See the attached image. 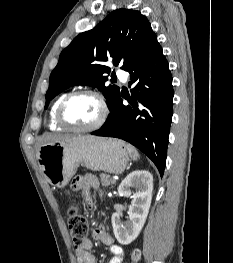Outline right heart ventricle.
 I'll return each instance as SVG.
<instances>
[{
	"label": "right heart ventricle",
	"mask_w": 233,
	"mask_h": 263,
	"mask_svg": "<svg viewBox=\"0 0 233 263\" xmlns=\"http://www.w3.org/2000/svg\"><path fill=\"white\" fill-rule=\"evenodd\" d=\"M67 94H61L59 97H57L55 99V101L53 102L50 111H49V118H48V126L51 130L53 131H62L64 130V128L57 122V109L58 106L60 104V102L62 101V99L66 96Z\"/></svg>",
	"instance_id": "e07e8e85"
}]
</instances>
